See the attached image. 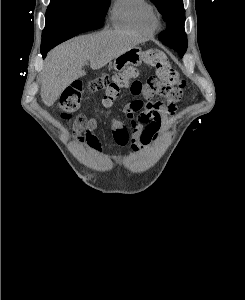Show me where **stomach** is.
Returning a JSON list of instances; mask_svg holds the SVG:
<instances>
[{
    "label": "stomach",
    "instance_id": "1",
    "mask_svg": "<svg viewBox=\"0 0 245 300\" xmlns=\"http://www.w3.org/2000/svg\"><path fill=\"white\" fill-rule=\"evenodd\" d=\"M142 63V51L139 47H133L117 56L113 62V68L120 72L128 66H139Z\"/></svg>",
    "mask_w": 245,
    "mask_h": 300
}]
</instances>
